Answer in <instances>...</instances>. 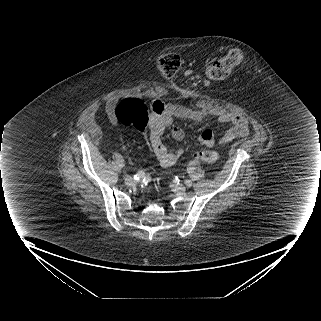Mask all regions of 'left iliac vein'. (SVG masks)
<instances>
[{
    "instance_id": "1",
    "label": "left iliac vein",
    "mask_w": 321,
    "mask_h": 321,
    "mask_svg": "<svg viewBox=\"0 0 321 321\" xmlns=\"http://www.w3.org/2000/svg\"><path fill=\"white\" fill-rule=\"evenodd\" d=\"M172 189L178 195H182L186 192V187L182 184H173Z\"/></svg>"
}]
</instances>
